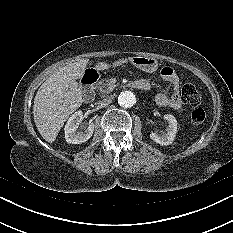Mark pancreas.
I'll use <instances>...</instances> for the list:
<instances>
[{
    "mask_svg": "<svg viewBox=\"0 0 233 233\" xmlns=\"http://www.w3.org/2000/svg\"><path fill=\"white\" fill-rule=\"evenodd\" d=\"M115 85L111 84L108 80L107 81H100L97 85V89L99 90L100 97H105L110 92L113 91Z\"/></svg>",
    "mask_w": 233,
    "mask_h": 233,
    "instance_id": "pancreas-1",
    "label": "pancreas"
}]
</instances>
